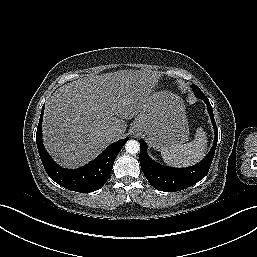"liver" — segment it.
<instances>
[{"label":"liver","instance_id":"liver-1","mask_svg":"<svg viewBox=\"0 0 257 257\" xmlns=\"http://www.w3.org/2000/svg\"><path fill=\"white\" fill-rule=\"evenodd\" d=\"M157 75L120 70L81 78L59 87L46 103L44 146L61 166L76 168L121 138L148 101ZM108 130L117 136L110 139Z\"/></svg>","mask_w":257,"mask_h":257}]
</instances>
